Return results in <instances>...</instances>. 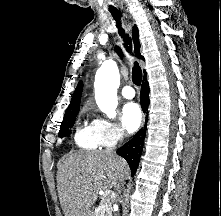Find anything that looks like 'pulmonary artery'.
Returning <instances> with one entry per match:
<instances>
[{
  "label": "pulmonary artery",
  "instance_id": "obj_1",
  "mask_svg": "<svg viewBox=\"0 0 221 216\" xmlns=\"http://www.w3.org/2000/svg\"><path fill=\"white\" fill-rule=\"evenodd\" d=\"M121 93L124 98L126 99H132L135 97V91L132 86L126 85L122 88Z\"/></svg>",
  "mask_w": 221,
  "mask_h": 216
}]
</instances>
